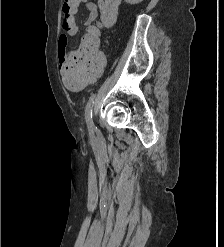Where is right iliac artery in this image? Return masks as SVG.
<instances>
[{"label": "right iliac artery", "mask_w": 224, "mask_h": 247, "mask_svg": "<svg viewBox=\"0 0 224 247\" xmlns=\"http://www.w3.org/2000/svg\"><path fill=\"white\" fill-rule=\"evenodd\" d=\"M94 99H95V94H92V96L90 97L86 105V109H85V119H86V123H87V127H88L90 135H93L94 130H95L93 119H92V109H93Z\"/></svg>", "instance_id": "82829eb1"}]
</instances>
